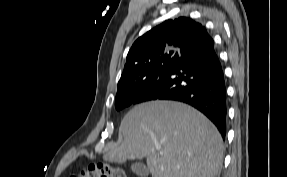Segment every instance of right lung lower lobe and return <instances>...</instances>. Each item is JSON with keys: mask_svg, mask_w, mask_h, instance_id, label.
Wrapping results in <instances>:
<instances>
[{"mask_svg": "<svg viewBox=\"0 0 287 177\" xmlns=\"http://www.w3.org/2000/svg\"><path fill=\"white\" fill-rule=\"evenodd\" d=\"M176 100L206 115L222 137L226 135V85L214 41L203 31L181 53L178 63L132 104L149 100Z\"/></svg>", "mask_w": 287, "mask_h": 177, "instance_id": "obj_1", "label": "right lung lower lobe"}]
</instances>
